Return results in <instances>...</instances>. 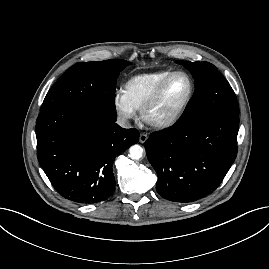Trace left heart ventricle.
I'll return each mask as SVG.
<instances>
[{"instance_id":"left-heart-ventricle-1","label":"left heart ventricle","mask_w":269,"mask_h":269,"mask_svg":"<svg viewBox=\"0 0 269 269\" xmlns=\"http://www.w3.org/2000/svg\"><path fill=\"white\" fill-rule=\"evenodd\" d=\"M188 90L189 82L185 76L173 77L166 85L158 103L150 112V118H162L175 111L185 100Z\"/></svg>"}]
</instances>
